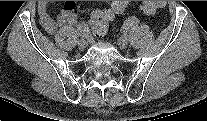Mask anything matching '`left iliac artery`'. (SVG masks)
Wrapping results in <instances>:
<instances>
[{
    "mask_svg": "<svg viewBox=\"0 0 207 121\" xmlns=\"http://www.w3.org/2000/svg\"><path fill=\"white\" fill-rule=\"evenodd\" d=\"M138 20V17L135 14H132L128 17L123 24V32L128 34L131 31V26Z\"/></svg>",
    "mask_w": 207,
    "mask_h": 121,
    "instance_id": "left-iliac-artery-1",
    "label": "left iliac artery"
}]
</instances>
